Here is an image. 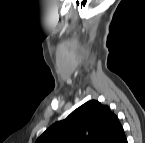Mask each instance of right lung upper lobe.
I'll list each match as a JSON object with an SVG mask.
<instances>
[{
	"label": "right lung upper lobe",
	"instance_id": "1",
	"mask_svg": "<svg viewBox=\"0 0 145 143\" xmlns=\"http://www.w3.org/2000/svg\"><path fill=\"white\" fill-rule=\"evenodd\" d=\"M36 143H127L117 116L92 100L51 125Z\"/></svg>",
	"mask_w": 145,
	"mask_h": 143
}]
</instances>
